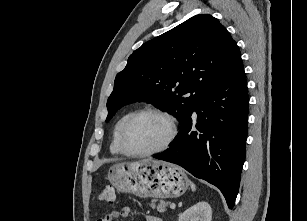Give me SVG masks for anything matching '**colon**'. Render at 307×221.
<instances>
[{
  "label": "colon",
  "mask_w": 307,
  "mask_h": 221,
  "mask_svg": "<svg viewBox=\"0 0 307 221\" xmlns=\"http://www.w3.org/2000/svg\"><path fill=\"white\" fill-rule=\"evenodd\" d=\"M116 199L115 189L111 186H105L98 193V200L104 203H114Z\"/></svg>",
  "instance_id": "5ec220e1"
}]
</instances>
